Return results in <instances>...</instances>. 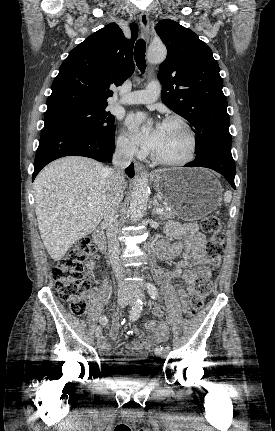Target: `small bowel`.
<instances>
[{
	"label": "small bowel",
	"mask_w": 275,
	"mask_h": 431,
	"mask_svg": "<svg viewBox=\"0 0 275 431\" xmlns=\"http://www.w3.org/2000/svg\"><path fill=\"white\" fill-rule=\"evenodd\" d=\"M166 233L174 239V242L160 240L156 245V252L164 261H172L182 255V259L175 268L166 274L169 278H177L185 282V288L176 290L175 295L180 308L187 309L189 297L195 292L194 284L197 278L203 274L211 275L213 261L206 254V237L196 224L169 222ZM154 313L156 316H162L163 310L161 307H155ZM144 329L149 334L139 331L137 340L128 344V349L134 355L142 354L145 348L166 341L170 335L168 325L159 320L146 321ZM118 332L119 322L115 316L111 326L98 340L99 350L104 356L109 355L111 342L117 340Z\"/></svg>",
	"instance_id": "c3829d8e"
}]
</instances>
